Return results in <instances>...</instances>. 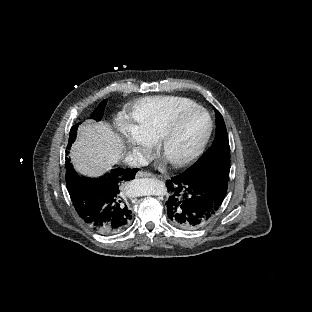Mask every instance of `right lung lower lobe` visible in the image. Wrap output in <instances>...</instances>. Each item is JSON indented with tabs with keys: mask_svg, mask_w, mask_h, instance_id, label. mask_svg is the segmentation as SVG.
Here are the masks:
<instances>
[{
	"mask_svg": "<svg viewBox=\"0 0 312 312\" xmlns=\"http://www.w3.org/2000/svg\"><path fill=\"white\" fill-rule=\"evenodd\" d=\"M65 165L67 189L82 221L103 235L126 229L133 216L125 193L138 169L115 168L109 174L88 179L74 170L68 158Z\"/></svg>",
	"mask_w": 312,
	"mask_h": 312,
	"instance_id": "obj_1",
	"label": "right lung lower lobe"
}]
</instances>
